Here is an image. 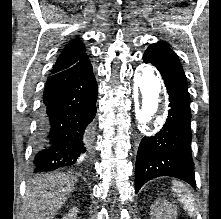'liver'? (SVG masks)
Wrapping results in <instances>:
<instances>
[{"mask_svg": "<svg viewBox=\"0 0 221 219\" xmlns=\"http://www.w3.org/2000/svg\"><path fill=\"white\" fill-rule=\"evenodd\" d=\"M77 178L70 174H46L27 186L24 211L26 219H53L74 190Z\"/></svg>", "mask_w": 221, "mask_h": 219, "instance_id": "6515ba94", "label": "liver"}]
</instances>
